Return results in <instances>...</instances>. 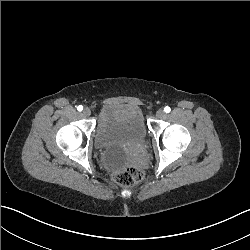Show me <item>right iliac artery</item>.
<instances>
[{"instance_id":"1","label":"right iliac artery","mask_w":250,"mask_h":250,"mask_svg":"<svg viewBox=\"0 0 250 250\" xmlns=\"http://www.w3.org/2000/svg\"><path fill=\"white\" fill-rule=\"evenodd\" d=\"M77 110H78V111H82V110H83V106H82V105H79V106L77 107Z\"/></svg>"}]
</instances>
